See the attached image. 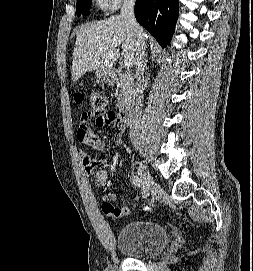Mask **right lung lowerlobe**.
I'll return each mask as SVG.
<instances>
[{"label":"right lung lower lobe","mask_w":253,"mask_h":271,"mask_svg":"<svg viewBox=\"0 0 253 271\" xmlns=\"http://www.w3.org/2000/svg\"><path fill=\"white\" fill-rule=\"evenodd\" d=\"M178 9L177 0H137L135 17L164 48L174 33Z\"/></svg>","instance_id":"right-lung-lower-lobe-1"}]
</instances>
